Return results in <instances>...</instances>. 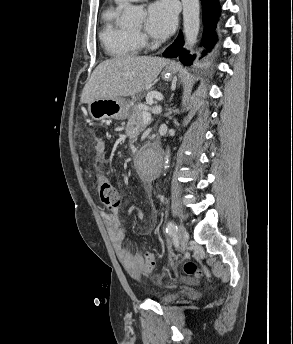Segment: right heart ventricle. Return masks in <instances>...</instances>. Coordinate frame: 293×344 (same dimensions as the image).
Segmentation results:
<instances>
[{
  "label": "right heart ventricle",
  "instance_id": "obj_1",
  "mask_svg": "<svg viewBox=\"0 0 293 344\" xmlns=\"http://www.w3.org/2000/svg\"><path fill=\"white\" fill-rule=\"evenodd\" d=\"M121 6L122 4L115 2L103 10L100 40L111 56H137L141 51L142 44L136 33L119 25L118 17Z\"/></svg>",
  "mask_w": 293,
  "mask_h": 344
}]
</instances>
